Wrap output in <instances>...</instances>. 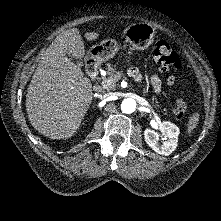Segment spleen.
<instances>
[{
  "label": "spleen",
  "instance_id": "3e777b00",
  "mask_svg": "<svg viewBox=\"0 0 221 221\" xmlns=\"http://www.w3.org/2000/svg\"><path fill=\"white\" fill-rule=\"evenodd\" d=\"M199 118H200L199 113H194L193 115H191L188 121V127H187L188 133L192 132L193 129L196 128L199 122Z\"/></svg>",
  "mask_w": 221,
  "mask_h": 221
}]
</instances>
